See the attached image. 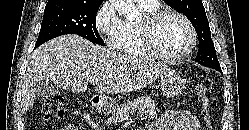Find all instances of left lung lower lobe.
<instances>
[{
    "label": "left lung lower lobe",
    "instance_id": "1",
    "mask_svg": "<svg viewBox=\"0 0 249 130\" xmlns=\"http://www.w3.org/2000/svg\"><path fill=\"white\" fill-rule=\"evenodd\" d=\"M218 71L222 73V70H221V69H219Z\"/></svg>",
    "mask_w": 249,
    "mask_h": 130
}]
</instances>
